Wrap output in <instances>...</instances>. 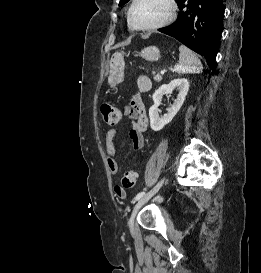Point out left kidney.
Masks as SVG:
<instances>
[{
	"label": "left kidney",
	"mask_w": 261,
	"mask_h": 273,
	"mask_svg": "<svg viewBox=\"0 0 261 273\" xmlns=\"http://www.w3.org/2000/svg\"><path fill=\"white\" fill-rule=\"evenodd\" d=\"M175 88L179 89V94L177 99L174 101L173 105L168 109V112L160 117L158 113V107L162 101L165 94H171ZM189 90V82L187 79L178 78L170 81L168 84H164L153 94L154 105L149 109L150 117V127L153 131H160L165 125L172 121L174 116L180 110L184 103L185 97Z\"/></svg>",
	"instance_id": "obj_1"
}]
</instances>
